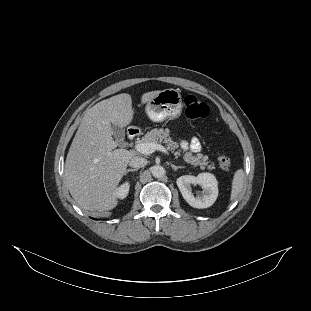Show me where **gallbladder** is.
<instances>
[{
	"instance_id": "1",
	"label": "gallbladder",
	"mask_w": 311,
	"mask_h": 311,
	"mask_svg": "<svg viewBox=\"0 0 311 311\" xmlns=\"http://www.w3.org/2000/svg\"><path fill=\"white\" fill-rule=\"evenodd\" d=\"M113 132L117 145L123 147L125 145V131L120 128L114 127Z\"/></svg>"
}]
</instances>
